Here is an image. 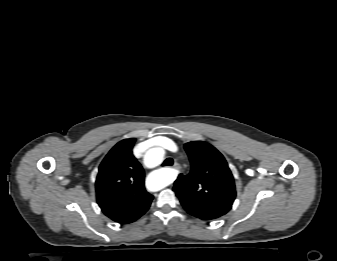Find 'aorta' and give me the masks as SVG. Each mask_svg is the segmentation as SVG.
Returning <instances> with one entry per match:
<instances>
[{"label":"aorta","instance_id":"obj_1","mask_svg":"<svg viewBox=\"0 0 337 261\" xmlns=\"http://www.w3.org/2000/svg\"><path fill=\"white\" fill-rule=\"evenodd\" d=\"M164 150L159 147H154L149 149L144 157V162L147 167L153 168L160 165L163 161ZM175 175V171L171 169H162L157 172V177L160 182V188L165 187L169 182L172 176Z\"/></svg>","mask_w":337,"mask_h":261}]
</instances>
